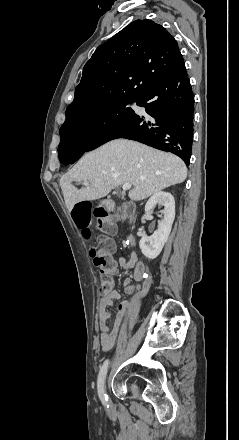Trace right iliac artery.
I'll return each mask as SVG.
<instances>
[{
    "label": "right iliac artery",
    "instance_id": "1",
    "mask_svg": "<svg viewBox=\"0 0 239 440\" xmlns=\"http://www.w3.org/2000/svg\"><path fill=\"white\" fill-rule=\"evenodd\" d=\"M108 365H109V360H106L100 369V372L98 375V380H97L98 394H99L100 400L102 401V403L104 405H107V402H108V397L105 394V378H106Z\"/></svg>",
    "mask_w": 239,
    "mask_h": 440
}]
</instances>
